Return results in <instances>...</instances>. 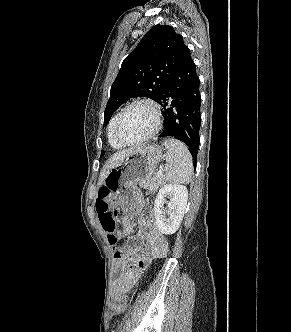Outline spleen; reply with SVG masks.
Here are the masks:
<instances>
[{
	"mask_svg": "<svg viewBox=\"0 0 291 332\" xmlns=\"http://www.w3.org/2000/svg\"><path fill=\"white\" fill-rule=\"evenodd\" d=\"M167 149L165 160L169 170L164 179L170 183L187 184L193 175V160L187 146L177 139H167L164 142Z\"/></svg>",
	"mask_w": 291,
	"mask_h": 332,
	"instance_id": "1",
	"label": "spleen"
}]
</instances>
